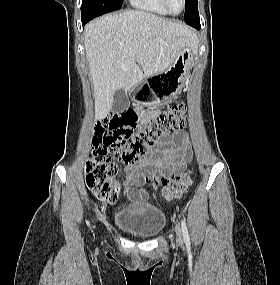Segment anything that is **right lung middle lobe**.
Listing matches in <instances>:
<instances>
[{"mask_svg": "<svg viewBox=\"0 0 280 285\" xmlns=\"http://www.w3.org/2000/svg\"><path fill=\"white\" fill-rule=\"evenodd\" d=\"M123 0H83L81 6V19H91L122 7Z\"/></svg>", "mask_w": 280, "mask_h": 285, "instance_id": "right-lung-middle-lobe-1", "label": "right lung middle lobe"}]
</instances>
